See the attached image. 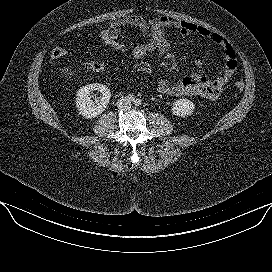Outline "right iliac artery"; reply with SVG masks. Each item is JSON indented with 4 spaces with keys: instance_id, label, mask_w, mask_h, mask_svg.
Here are the masks:
<instances>
[{
    "instance_id": "82829eb1",
    "label": "right iliac artery",
    "mask_w": 272,
    "mask_h": 272,
    "mask_svg": "<svg viewBox=\"0 0 272 272\" xmlns=\"http://www.w3.org/2000/svg\"><path fill=\"white\" fill-rule=\"evenodd\" d=\"M127 100L130 101V102H132V101L135 100V96H134L133 94H129V95L127 96Z\"/></svg>"
}]
</instances>
